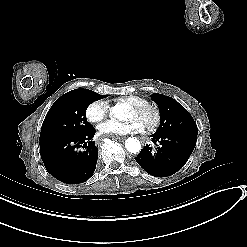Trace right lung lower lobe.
I'll list each match as a JSON object with an SVG mask.
<instances>
[{"instance_id":"right-lung-lower-lobe-1","label":"right lung lower lobe","mask_w":247,"mask_h":247,"mask_svg":"<svg viewBox=\"0 0 247 247\" xmlns=\"http://www.w3.org/2000/svg\"><path fill=\"white\" fill-rule=\"evenodd\" d=\"M92 127L76 136H60L40 142V155L49 174L66 184L87 181L94 173L98 158L97 147L91 139ZM86 148L79 151L80 147Z\"/></svg>"}]
</instances>
